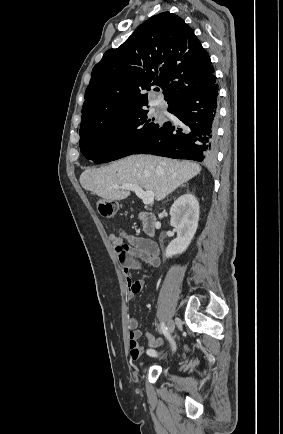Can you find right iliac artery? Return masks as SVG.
Instances as JSON below:
<instances>
[{"instance_id": "right-iliac-artery-1", "label": "right iliac artery", "mask_w": 283, "mask_h": 434, "mask_svg": "<svg viewBox=\"0 0 283 434\" xmlns=\"http://www.w3.org/2000/svg\"><path fill=\"white\" fill-rule=\"evenodd\" d=\"M161 331L165 335V337H167V339H170L168 337L167 327L165 326L164 322L161 323ZM171 345H172V349L175 350V343H174V341L171 342ZM147 354L149 356H153V357L157 356L156 351L153 350V349H148L147 350Z\"/></svg>"}]
</instances>
